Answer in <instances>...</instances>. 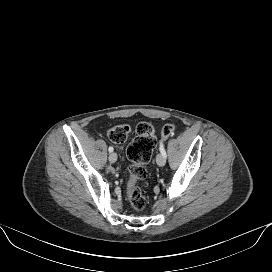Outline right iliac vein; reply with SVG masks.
I'll list each match as a JSON object with an SVG mask.
<instances>
[{
	"instance_id": "right-iliac-vein-1",
	"label": "right iliac vein",
	"mask_w": 272,
	"mask_h": 272,
	"mask_svg": "<svg viewBox=\"0 0 272 272\" xmlns=\"http://www.w3.org/2000/svg\"><path fill=\"white\" fill-rule=\"evenodd\" d=\"M109 161L111 163H115L117 161V154L115 152H111L109 154Z\"/></svg>"
}]
</instances>
